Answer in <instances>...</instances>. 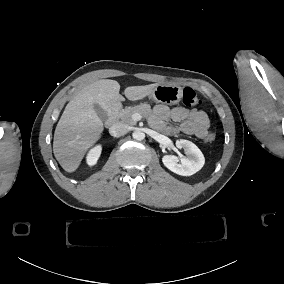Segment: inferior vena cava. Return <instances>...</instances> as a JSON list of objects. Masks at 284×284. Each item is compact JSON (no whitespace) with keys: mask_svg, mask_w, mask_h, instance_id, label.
<instances>
[{"mask_svg":"<svg viewBox=\"0 0 284 284\" xmlns=\"http://www.w3.org/2000/svg\"><path fill=\"white\" fill-rule=\"evenodd\" d=\"M129 131V126L123 122H117L109 128L110 135L120 137Z\"/></svg>","mask_w":284,"mask_h":284,"instance_id":"inferior-vena-cava-1","label":"inferior vena cava"}]
</instances>
